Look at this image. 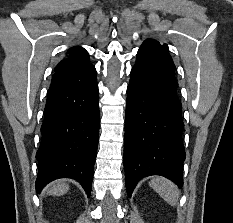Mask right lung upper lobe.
Returning <instances> with one entry per match:
<instances>
[{
  "instance_id": "1",
  "label": "right lung upper lobe",
  "mask_w": 233,
  "mask_h": 223,
  "mask_svg": "<svg viewBox=\"0 0 233 223\" xmlns=\"http://www.w3.org/2000/svg\"><path fill=\"white\" fill-rule=\"evenodd\" d=\"M69 52L70 55L55 67V71L75 68L89 63V54L82 47L74 46Z\"/></svg>"
}]
</instances>
